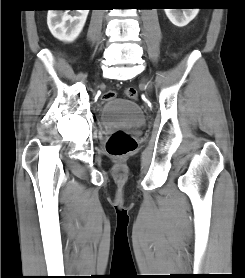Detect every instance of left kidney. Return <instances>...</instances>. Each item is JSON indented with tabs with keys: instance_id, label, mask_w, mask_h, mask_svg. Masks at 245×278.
<instances>
[{
	"instance_id": "5707ae66",
	"label": "left kidney",
	"mask_w": 245,
	"mask_h": 278,
	"mask_svg": "<svg viewBox=\"0 0 245 278\" xmlns=\"http://www.w3.org/2000/svg\"><path fill=\"white\" fill-rule=\"evenodd\" d=\"M182 10V12H181ZM168 19L177 27H184L192 21L199 12L198 8L193 9H164Z\"/></svg>"
}]
</instances>
